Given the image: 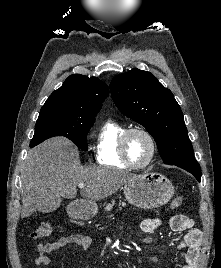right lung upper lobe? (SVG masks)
<instances>
[{
	"label": "right lung upper lobe",
	"mask_w": 221,
	"mask_h": 268,
	"mask_svg": "<svg viewBox=\"0 0 221 268\" xmlns=\"http://www.w3.org/2000/svg\"><path fill=\"white\" fill-rule=\"evenodd\" d=\"M108 94V86L98 78L73 74L49 96L40 112H63L95 119Z\"/></svg>",
	"instance_id": "1"
}]
</instances>
